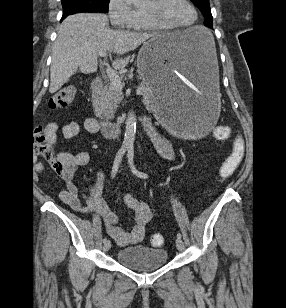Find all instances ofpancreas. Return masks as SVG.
Returning <instances> with one entry per match:
<instances>
[{
	"label": "pancreas",
	"instance_id": "1",
	"mask_svg": "<svg viewBox=\"0 0 286 308\" xmlns=\"http://www.w3.org/2000/svg\"><path fill=\"white\" fill-rule=\"evenodd\" d=\"M142 90L143 102L147 105L153 97L151 88L143 81ZM122 100V93L111 82L93 95V107L96 117L100 119H112L118 104Z\"/></svg>",
	"mask_w": 286,
	"mask_h": 308
}]
</instances>
